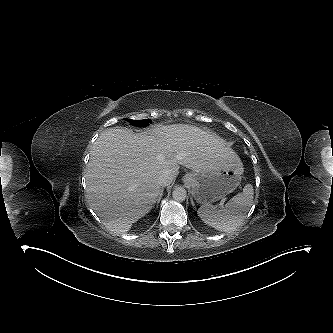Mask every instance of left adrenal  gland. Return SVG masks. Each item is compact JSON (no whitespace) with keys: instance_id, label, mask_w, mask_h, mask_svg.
<instances>
[{"instance_id":"1","label":"left adrenal gland","mask_w":333,"mask_h":333,"mask_svg":"<svg viewBox=\"0 0 333 333\" xmlns=\"http://www.w3.org/2000/svg\"><path fill=\"white\" fill-rule=\"evenodd\" d=\"M191 204L192 206H195L193 199H191Z\"/></svg>"}]
</instances>
